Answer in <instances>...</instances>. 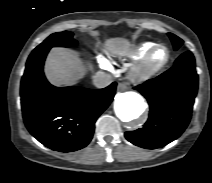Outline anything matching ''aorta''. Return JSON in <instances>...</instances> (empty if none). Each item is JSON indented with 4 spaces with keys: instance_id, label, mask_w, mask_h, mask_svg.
<instances>
[{
    "instance_id": "aorta-1",
    "label": "aorta",
    "mask_w": 212,
    "mask_h": 183,
    "mask_svg": "<svg viewBox=\"0 0 212 183\" xmlns=\"http://www.w3.org/2000/svg\"><path fill=\"white\" fill-rule=\"evenodd\" d=\"M146 109L143 97L132 91L117 95L114 110L117 117L123 122H131L138 119Z\"/></svg>"
}]
</instances>
